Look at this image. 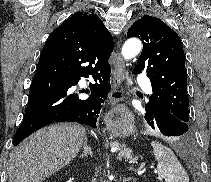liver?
I'll return each instance as SVG.
<instances>
[{
	"instance_id": "6515ba94",
	"label": "liver",
	"mask_w": 211,
	"mask_h": 182,
	"mask_svg": "<svg viewBox=\"0 0 211 182\" xmlns=\"http://www.w3.org/2000/svg\"><path fill=\"white\" fill-rule=\"evenodd\" d=\"M78 124H56L37 131L10 155L8 182H41L70 163L86 140Z\"/></svg>"
}]
</instances>
